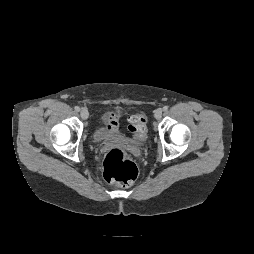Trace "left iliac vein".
<instances>
[{"instance_id":"1","label":"left iliac vein","mask_w":254,"mask_h":254,"mask_svg":"<svg viewBox=\"0 0 254 254\" xmlns=\"http://www.w3.org/2000/svg\"><path fill=\"white\" fill-rule=\"evenodd\" d=\"M161 117H162V109L158 108V109L155 111V118H156L157 120H159Z\"/></svg>"}]
</instances>
